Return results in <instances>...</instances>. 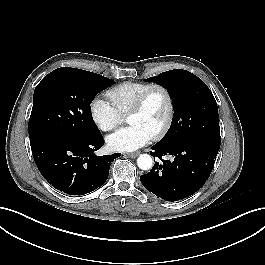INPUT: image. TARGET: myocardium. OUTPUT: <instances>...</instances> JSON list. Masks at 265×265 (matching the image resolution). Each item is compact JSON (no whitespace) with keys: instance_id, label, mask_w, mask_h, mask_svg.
<instances>
[{"instance_id":"1","label":"myocardium","mask_w":265,"mask_h":265,"mask_svg":"<svg viewBox=\"0 0 265 265\" xmlns=\"http://www.w3.org/2000/svg\"><path fill=\"white\" fill-rule=\"evenodd\" d=\"M156 90L161 91L167 99V113L160 127L152 135L153 139L161 138L168 131L174 117V98L169 88L162 84H152L140 95L128 112V116L141 112L144 109L151 94Z\"/></svg>"}]
</instances>
